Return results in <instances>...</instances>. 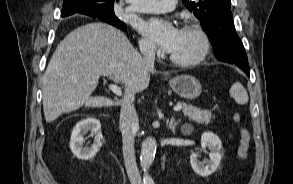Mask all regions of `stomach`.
Wrapping results in <instances>:
<instances>
[{
    "label": "stomach",
    "instance_id": "stomach-1",
    "mask_svg": "<svg viewBox=\"0 0 293 184\" xmlns=\"http://www.w3.org/2000/svg\"><path fill=\"white\" fill-rule=\"evenodd\" d=\"M170 87L180 97L185 99H195L201 94V84L193 76L180 75L169 81Z\"/></svg>",
    "mask_w": 293,
    "mask_h": 184
}]
</instances>
